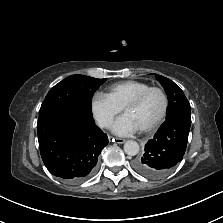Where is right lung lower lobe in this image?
I'll use <instances>...</instances> for the list:
<instances>
[{
    "mask_svg": "<svg viewBox=\"0 0 223 223\" xmlns=\"http://www.w3.org/2000/svg\"><path fill=\"white\" fill-rule=\"evenodd\" d=\"M37 133L46 168L68 183L90 177L108 144V137L95 125L92 112L73 103L39 113Z\"/></svg>",
    "mask_w": 223,
    "mask_h": 223,
    "instance_id": "1",
    "label": "right lung lower lobe"
}]
</instances>
